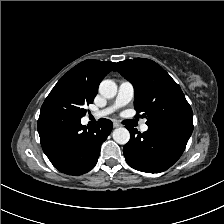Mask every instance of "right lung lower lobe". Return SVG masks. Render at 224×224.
<instances>
[{"instance_id": "98d812e1", "label": "right lung lower lobe", "mask_w": 224, "mask_h": 224, "mask_svg": "<svg viewBox=\"0 0 224 224\" xmlns=\"http://www.w3.org/2000/svg\"><path fill=\"white\" fill-rule=\"evenodd\" d=\"M112 128L108 119L89 128L80 119L54 111H41L38 119L44 153L56 169L68 175H81L95 166Z\"/></svg>"}]
</instances>
